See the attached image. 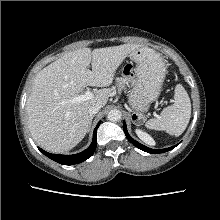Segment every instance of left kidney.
Here are the masks:
<instances>
[{"mask_svg": "<svg viewBox=\"0 0 220 220\" xmlns=\"http://www.w3.org/2000/svg\"><path fill=\"white\" fill-rule=\"evenodd\" d=\"M137 136L146 144L148 145H155V141L154 139L149 135L147 134L146 132H144L143 130L141 129H136L135 130Z\"/></svg>", "mask_w": 220, "mask_h": 220, "instance_id": "obj_1", "label": "left kidney"}]
</instances>
